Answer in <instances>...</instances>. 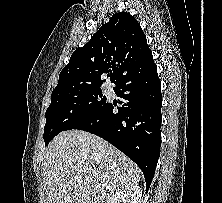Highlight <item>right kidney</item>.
Wrapping results in <instances>:
<instances>
[{
    "mask_svg": "<svg viewBox=\"0 0 222 203\" xmlns=\"http://www.w3.org/2000/svg\"><path fill=\"white\" fill-rule=\"evenodd\" d=\"M142 191L138 185H130L119 191L106 203H140Z\"/></svg>",
    "mask_w": 222,
    "mask_h": 203,
    "instance_id": "1",
    "label": "right kidney"
}]
</instances>
